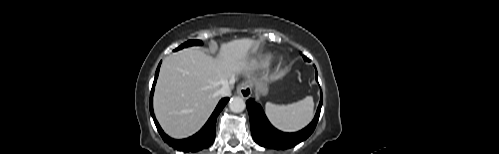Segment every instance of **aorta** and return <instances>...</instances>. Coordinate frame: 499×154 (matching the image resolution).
Listing matches in <instances>:
<instances>
[{"instance_id":"1","label":"aorta","mask_w":499,"mask_h":154,"mask_svg":"<svg viewBox=\"0 0 499 154\" xmlns=\"http://www.w3.org/2000/svg\"><path fill=\"white\" fill-rule=\"evenodd\" d=\"M246 107L245 101L238 96L232 97L229 101V108L234 113L242 112Z\"/></svg>"}]
</instances>
